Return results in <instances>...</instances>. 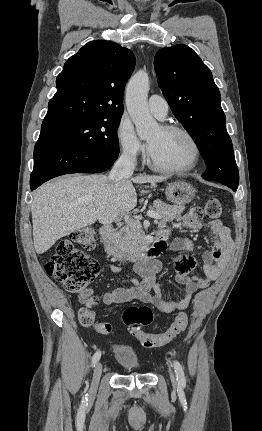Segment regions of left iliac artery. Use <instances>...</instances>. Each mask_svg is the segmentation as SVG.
Listing matches in <instances>:
<instances>
[{"label": "left iliac artery", "mask_w": 262, "mask_h": 431, "mask_svg": "<svg viewBox=\"0 0 262 431\" xmlns=\"http://www.w3.org/2000/svg\"><path fill=\"white\" fill-rule=\"evenodd\" d=\"M174 370L176 373L178 384L184 387L186 384L185 374L182 365L178 361H174Z\"/></svg>", "instance_id": "obj_1"}]
</instances>
